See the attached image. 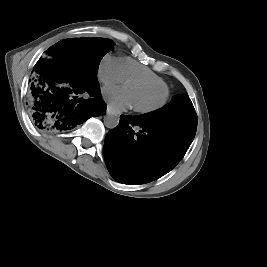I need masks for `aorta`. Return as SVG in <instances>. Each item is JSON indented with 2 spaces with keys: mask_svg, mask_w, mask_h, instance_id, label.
Segmentation results:
<instances>
[{
  "mask_svg": "<svg viewBox=\"0 0 267 267\" xmlns=\"http://www.w3.org/2000/svg\"><path fill=\"white\" fill-rule=\"evenodd\" d=\"M119 116L115 113H107L104 116V124L107 128L113 129L119 124Z\"/></svg>",
  "mask_w": 267,
  "mask_h": 267,
  "instance_id": "aorta-1",
  "label": "aorta"
}]
</instances>
